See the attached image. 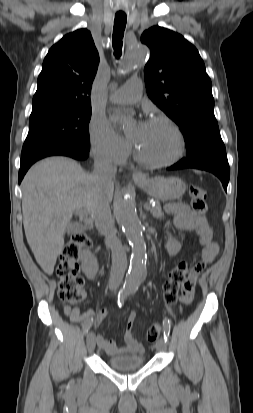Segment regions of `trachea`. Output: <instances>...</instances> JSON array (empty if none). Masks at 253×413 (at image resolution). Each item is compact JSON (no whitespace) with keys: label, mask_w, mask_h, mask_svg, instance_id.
Returning a JSON list of instances; mask_svg holds the SVG:
<instances>
[{"label":"trachea","mask_w":253,"mask_h":413,"mask_svg":"<svg viewBox=\"0 0 253 413\" xmlns=\"http://www.w3.org/2000/svg\"><path fill=\"white\" fill-rule=\"evenodd\" d=\"M126 21L127 17L125 14L115 15L112 43L114 48V54L117 58L120 57L122 54V39L124 36Z\"/></svg>","instance_id":"1"}]
</instances>
